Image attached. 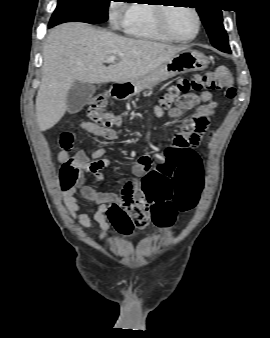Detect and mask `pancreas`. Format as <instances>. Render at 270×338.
<instances>
[{"instance_id":"obj_1","label":"pancreas","mask_w":270,"mask_h":338,"mask_svg":"<svg viewBox=\"0 0 270 338\" xmlns=\"http://www.w3.org/2000/svg\"><path fill=\"white\" fill-rule=\"evenodd\" d=\"M151 94H152V88L151 87L149 88V91H146V92L143 93L144 96H150ZM136 100H138V99H136Z\"/></svg>"}]
</instances>
